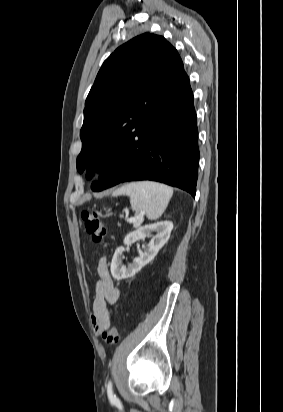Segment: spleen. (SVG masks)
I'll return each mask as SVG.
<instances>
[{
  "mask_svg": "<svg viewBox=\"0 0 283 412\" xmlns=\"http://www.w3.org/2000/svg\"><path fill=\"white\" fill-rule=\"evenodd\" d=\"M120 195L130 198L131 208L135 212H146L149 220H156L168 206L173 189L157 182L139 181L123 185L112 193L113 197Z\"/></svg>",
  "mask_w": 283,
  "mask_h": 412,
  "instance_id": "1",
  "label": "spleen"
}]
</instances>
